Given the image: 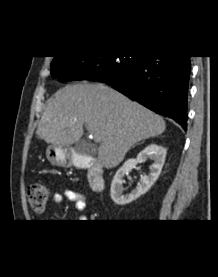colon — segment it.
<instances>
[{
  "label": "colon",
  "instance_id": "colon-1",
  "mask_svg": "<svg viewBox=\"0 0 218 277\" xmlns=\"http://www.w3.org/2000/svg\"><path fill=\"white\" fill-rule=\"evenodd\" d=\"M27 197L31 208L35 212H42L50 198V191L43 184H31L27 190Z\"/></svg>",
  "mask_w": 218,
  "mask_h": 277
}]
</instances>
